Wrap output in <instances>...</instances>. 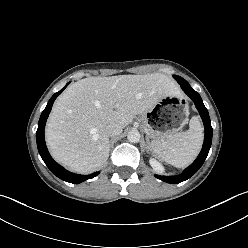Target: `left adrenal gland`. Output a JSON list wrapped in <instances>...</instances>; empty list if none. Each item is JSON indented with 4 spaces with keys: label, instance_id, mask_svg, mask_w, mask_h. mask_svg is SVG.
<instances>
[{
    "label": "left adrenal gland",
    "instance_id": "1",
    "mask_svg": "<svg viewBox=\"0 0 248 248\" xmlns=\"http://www.w3.org/2000/svg\"><path fill=\"white\" fill-rule=\"evenodd\" d=\"M147 143H148V150H147V153H149V151H151V147H150V142H149V140H148V138H147Z\"/></svg>",
    "mask_w": 248,
    "mask_h": 248
}]
</instances>
